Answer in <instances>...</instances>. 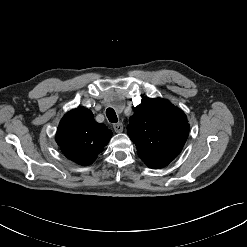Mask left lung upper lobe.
<instances>
[{
  "label": "left lung upper lobe",
  "mask_w": 247,
  "mask_h": 247,
  "mask_svg": "<svg viewBox=\"0 0 247 247\" xmlns=\"http://www.w3.org/2000/svg\"><path fill=\"white\" fill-rule=\"evenodd\" d=\"M127 133L141 160L152 169L168 165L181 152L189 133L182 110L161 98H145L129 119Z\"/></svg>",
  "instance_id": "5c2ea615"
}]
</instances>
